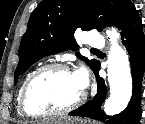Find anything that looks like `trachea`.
<instances>
[{"label":"trachea","instance_id":"trachea-1","mask_svg":"<svg viewBox=\"0 0 145 124\" xmlns=\"http://www.w3.org/2000/svg\"><path fill=\"white\" fill-rule=\"evenodd\" d=\"M92 51H97L96 49H91Z\"/></svg>","mask_w":145,"mask_h":124}]
</instances>
